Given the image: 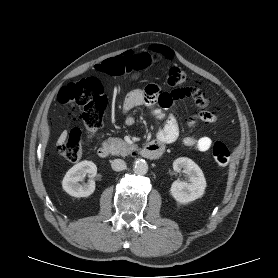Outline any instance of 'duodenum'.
Returning a JSON list of instances; mask_svg holds the SVG:
<instances>
[{
    "instance_id": "1",
    "label": "duodenum",
    "mask_w": 278,
    "mask_h": 278,
    "mask_svg": "<svg viewBox=\"0 0 278 278\" xmlns=\"http://www.w3.org/2000/svg\"><path fill=\"white\" fill-rule=\"evenodd\" d=\"M164 152L163 144L159 142H149L137 150L138 154H141L147 159L156 160L162 156ZM97 155L100 158H108L111 155V149L107 145H102L97 149Z\"/></svg>"
}]
</instances>
